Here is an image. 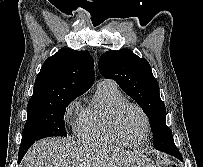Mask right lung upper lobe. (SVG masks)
I'll use <instances>...</instances> for the list:
<instances>
[{"instance_id":"cb5924a9","label":"right lung upper lobe","mask_w":203,"mask_h":167,"mask_svg":"<svg viewBox=\"0 0 203 167\" xmlns=\"http://www.w3.org/2000/svg\"><path fill=\"white\" fill-rule=\"evenodd\" d=\"M93 63L88 51L60 49L42 65L28 105L82 95L93 85Z\"/></svg>"}]
</instances>
